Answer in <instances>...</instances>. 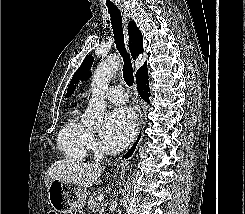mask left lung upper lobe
<instances>
[{
    "label": "left lung upper lobe",
    "mask_w": 245,
    "mask_h": 214,
    "mask_svg": "<svg viewBox=\"0 0 245 214\" xmlns=\"http://www.w3.org/2000/svg\"><path fill=\"white\" fill-rule=\"evenodd\" d=\"M93 64V57L91 55H88L82 62L80 68L75 72L74 76L71 79V83L68 87L66 98H69L71 94L74 92L76 86L78 85L80 80L85 79L86 77L91 76V72L89 69L91 68Z\"/></svg>",
    "instance_id": "left-lung-upper-lobe-1"
}]
</instances>
